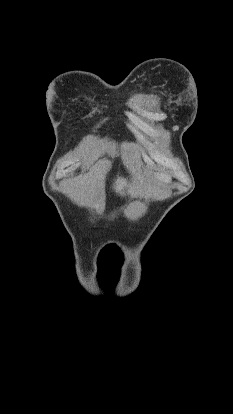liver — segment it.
I'll use <instances>...</instances> for the list:
<instances>
[{
    "instance_id": "obj_1",
    "label": "liver",
    "mask_w": 233,
    "mask_h": 414,
    "mask_svg": "<svg viewBox=\"0 0 233 414\" xmlns=\"http://www.w3.org/2000/svg\"><path fill=\"white\" fill-rule=\"evenodd\" d=\"M155 178H157L159 181H162V182H167L168 181V176L165 175V174H157V175H155ZM124 185H125L124 179L117 178V180L115 181V184H114V188H115L116 192L121 193L123 188H124Z\"/></svg>"
}]
</instances>
